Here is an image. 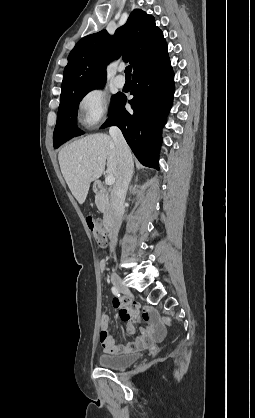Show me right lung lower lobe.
<instances>
[{
  "label": "right lung lower lobe",
  "mask_w": 255,
  "mask_h": 418,
  "mask_svg": "<svg viewBox=\"0 0 255 418\" xmlns=\"http://www.w3.org/2000/svg\"><path fill=\"white\" fill-rule=\"evenodd\" d=\"M174 90V73L167 56L133 75L134 98L129 101L133 111L125 109L127 98L118 94L102 128L118 126L137 159L145 166L159 169L161 128L166 123Z\"/></svg>",
  "instance_id": "98d812e1"
}]
</instances>
